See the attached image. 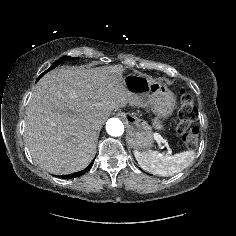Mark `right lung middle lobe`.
Listing matches in <instances>:
<instances>
[{"mask_svg": "<svg viewBox=\"0 0 236 236\" xmlns=\"http://www.w3.org/2000/svg\"><path fill=\"white\" fill-rule=\"evenodd\" d=\"M75 59H77V58H75V57H62L61 59H59L58 61H56L49 69H47L45 72H43L40 76H39V78H38V80L45 74V73H47L48 71H50V70H52V69H54L56 66H58L60 63H62L63 61H65V60H75Z\"/></svg>", "mask_w": 236, "mask_h": 236, "instance_id": "dd1d6c3e", "label": "right lung middle lobe"}]
</instances>
